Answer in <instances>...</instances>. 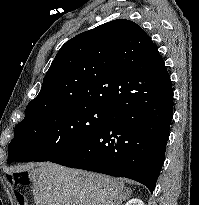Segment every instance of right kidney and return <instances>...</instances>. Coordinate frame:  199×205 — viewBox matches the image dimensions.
<instances>
[{"instance_id":"obj_1","label":"right kidney","mask_w":199,"mask_h":205,"mask_svg":"<svg viewBox=\"0 0 199 205\" xmlns=\"http://www.w3.org/2000/svg\"><path fill=\"white\" fill-rule=\"evenodd\" d=\"M125 205H144V203L138 198H132Z\"/></svg>"}]
</instances>
